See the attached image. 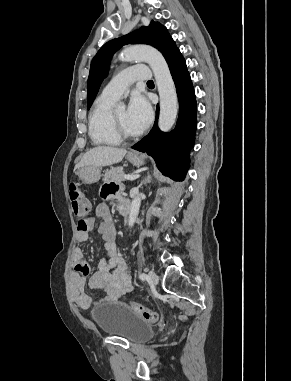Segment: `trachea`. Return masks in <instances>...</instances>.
<instances>
[{"label":"trachea","instance_id":"trachea-1","mask_svg":"<svg viewBox=\"0 0 291 381\" xmlns=\"http://www.w3.org/2000/svg\"><path fill=\"white\" fill-rule=\"evenodd\" d=\"M147 84H153V81H152V80H150V81H148V82H147Z\"/></svg>","mask_w":291,"mask_h":381}]
</instances>
